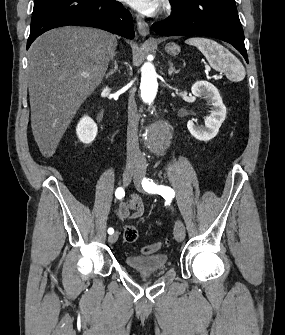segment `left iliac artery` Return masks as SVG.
I'll list each match as a JSON object with an SVG mask.
<instances>
[{
	"instance_id": "obj_1",
	"label": "left iliac artery",
	"mask_w": 285,
	"mask_h": 335,
	"mask_svg": "<svg viewBox=\"0 0 285 335\" xmlns=\"http://www.w3.org/2000/svg\"><path fill=\"white\" fill-rule=\"evenodd\" d=\"M142 187L145 191L152 194H159L162 197L172 196L174 197L175 192L172 188L163 185H157L152 179L144 178L142 180Z\"/></svg>"
}]
</instances>
